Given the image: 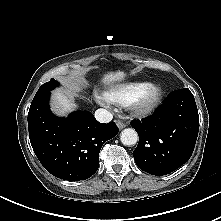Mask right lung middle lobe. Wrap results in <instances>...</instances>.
Masks as SVG:
<instances>
[{"instance_id": "1", "label": "right lung middle lobe", "mask_w": 221, "mask_h": 221, "mask_svg": "<svg viewBox=\"0 0 221 221\" xmlns=\"http://www.w3.org/2000/svg\"><path fill=\"white\" fill-rule=\"evenodd\" d=\"M58 85H59L58 81H56L55 79H51L49 82L43 84L39 88V90L37 91L35 96L41 95L43 93L50 92L53 88H55Z\"/></svg>"}]
</instances>
